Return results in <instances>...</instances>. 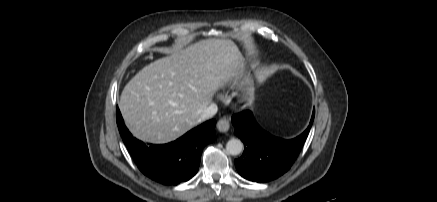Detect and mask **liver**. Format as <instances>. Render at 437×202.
I'll return each mask as SVG.
<instances>
[{
    "label": "liver",
    "mask_w": 437,
    "mask_h": 202,
    "mask_svg": "<svg viewBox=\"0 0 437 202\" xmlns=\"http://www.w3.org/2000/svg\"><path fill=\"white\" fill-rule=\"evenodd\" d=\"M244 71L233 41L200 40L141 69L124 87L119 109L136 138L168 143L196 126L215 93Z\"/></svg>",
    "instance_id": "1"
}]
</instances>
